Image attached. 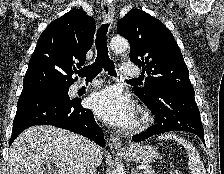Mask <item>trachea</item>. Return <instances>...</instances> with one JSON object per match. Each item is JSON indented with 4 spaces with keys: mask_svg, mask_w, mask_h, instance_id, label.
Segmentation results:
<instances>
[{
    "mask_svg": "<svg viewBox=\"0 0 224 174\" xmlns=\"http://www.w3.org/2000/svg\"><path fill=\"white\" fill-rule=\"evenodd\" d=\"M109 23L102 24L98 29L97 37L95 40L97 57L92 65L86 66L76 73L80 77H86V80H92L104 69L111 76H116L114 63L110 60L108 55V47L106 42V34L108 31ZM138 81L139 79H131Z\"/></svg>",
    "mask_w": 224,
    "mask_h": 174,
    "instance_id": "obj_1",
    "label": "trachea"
}]
</instances>
